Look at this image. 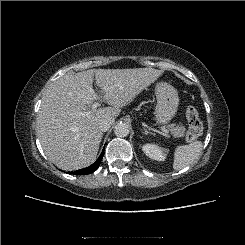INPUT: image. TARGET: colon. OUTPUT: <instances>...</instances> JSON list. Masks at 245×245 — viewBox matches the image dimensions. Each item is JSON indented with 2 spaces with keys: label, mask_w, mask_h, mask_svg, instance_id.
Instances as JSON below:
<instances>
[{
  "label": "colon",
  "mask_w": 245,
  "mask_h": 245,
  "mask_svg": "<svg viewBox=\"0 0 245 245\" xmlns=\"http://www.w3.org/2000/svg\"><path fill=\"white\" fill-rule=\"evenodd\" d=\"M186 118L188 121V130L186 139L188 141L196 140L202 133V122L195 107L189 105L186 108Z\"/></svg>",
  "instance_id": "1"
}]
</instances>
